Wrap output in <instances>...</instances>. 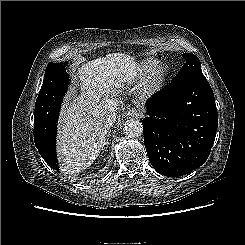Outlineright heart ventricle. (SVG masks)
<instances>
[{
  "mask_svg": "<svg viewBox=\"0 0 245 245\" xmlns=\"http://www.w3.org/2000/svg\"><path fill=\"white\" fill-rule=\"evenodd\" d=\"M149 61L143 62L142 64H140V66L137 69V72L135 73V76L138 77L142 74H144L147 70V67L149 65Z\"/></svg>",
  "mask_w": 245,
  "mask_h": 245,
  "instance_id": "e07e8e85",
  "label": "right heart ventricle"
}]
</instances>
